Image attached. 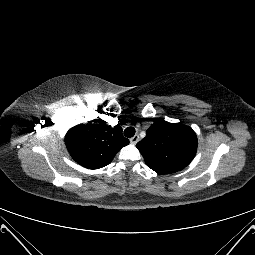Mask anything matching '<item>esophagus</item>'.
Listing matches in <instances>:
<instances>
[{
  "label": "esophagus",
  "mask_w": 255,
  "mask_h": 255,
  "mask_svg": "<svg viewBox=\"0 0 255 255\" xmlns=\"http://www.w3.org/2000/svg\"><path fill=\"white\" fill-rule=\"evenodd\" d=\"M139 141V136L135 135L132 138H130V143L135 145Z\"/></svg>",
  "instance_id": "esophagus-1"
}]
</instances>
